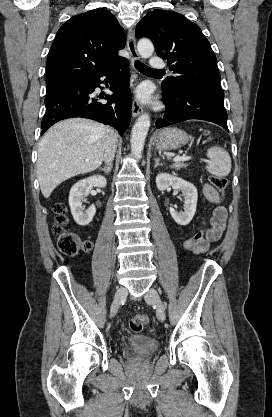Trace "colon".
<instances>
[{
  "label": "colon",
  "mask_w": 272,
  "mask_h": 417,
  "mask_svg": "<svg viewBox=\"0 0 272 417\" xmlns=\"http://www.w3.org/2000/svg\"><path fill=\"white\" fill-rule=\"evenodd\" d=\"M210 184L221 195H224L227 187V180L220 176L210 178ZM56 214L53 226L54 234L58 237L59 250L68 256H75L79 252L89 251L92 247L91 243L82 240L78 235L66 232L64 225L67 221L66 207L63 203H56L53 207ZM206 238L205 232L200 231L195 236L183 242L182 247L186 251L194 250ZM129 327L134 332H141L147 327V317L143 314H135L129 320Z\"/></svg>",
  "instance_id": "1"
}]
</instances>
